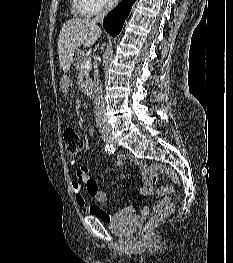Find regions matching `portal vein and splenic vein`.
Wrapping results in <instances>:
<instances>
[{"mask_svg":"<svg viewBox=\"0 0 233 263\" xmlns=\"http://www.w3.org/2000/svg\"><path fill=\"white\" fill-rule=\"evenodd\" d=\"M91 66V59L90 58H87L84 63L81 65V68L82 69H88L90 68Z\"/></svg>","mask_w":233,"mask_h":263,"instance_id":"1","label":"portal vein and splenic vein"}]
</instances>
